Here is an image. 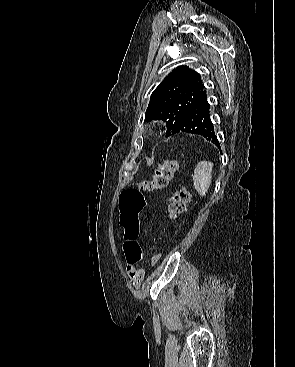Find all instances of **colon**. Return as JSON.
I'll return each mask as SVG.
<instances>
[{"mask_svg": "<svg viewBox=\"0 0 295 367\" xmlns=\"http://www.w3.org/2000/svg\"><path fill=\"white\" fill-rule=\"evenodd\" d=\"M179 169V164L175 160H165L161 163L156 172L150 177L143 179L138 186L128 188L122 192L119 199L120 225L124 230V253L126 260L130 263H137L142 256V250L137 242L139 235V213L142 205L149 206L153 202L143 199V191H153L167 187L175 172ZM188 189L179 190L171 198L167 205L168 217L175 220L186 208L190 201ZM160 260L158 254L151 258L152 265H156Z\"/></svg>", "mask_w": 295, "mask_h": 367, "instance_id": "colon-1", "label": "colon"}]
</instances>
